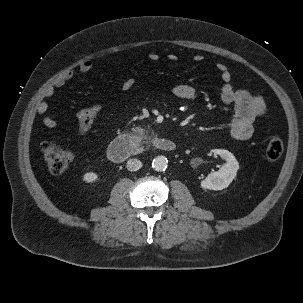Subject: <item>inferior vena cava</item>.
<instances>
[{
    "instance_id": "1",
    "label": "inferior vena cava",
    "mask_w": 303,
    "mask_h": 303,
    "mask_svg": "<svg viewBox=\"0 0 303 303\" xmlns=\"http://www.w3.org/2000/svg\"><path fill=\"white\" fill-rule=\"evenodd\" d=\"M126 167L129 171H137L142 167V162L138 159H129Z\"/></svg>"
}]
</instances>
